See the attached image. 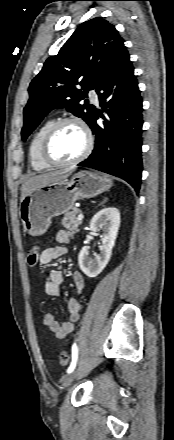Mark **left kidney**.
Wrapping results in <instances>:
<instances>
[{"mask_svg": "<svg viewBox=\"0 0 174 440\" xmlns=\"http://www.w3.org/2000/svg\"><path fill=\"white\" fill-rule=\"evenodd\" d=\"M120 226V212L117 208L109 207L100 210L90 222V229L94 232L102 230L100 254L92 260L88 256V247L84 246L78 256L79 267L88 277H96L108 264L112 249L115 245Z\"/></svg>", "mask_w": 174, "mask_h": 440, "instance_id": "obj_1", "label": "left kidney"}]
</instances>
